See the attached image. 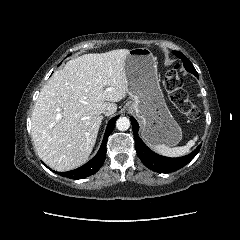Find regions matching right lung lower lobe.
Masks as SVG:
<instances>
[{"mask_svg":"<svg viewBox=\"0 0 240 240\" xmlns=\"http://www.w3.org/2000/svg\"><path fill=\"white\" fill-rule=\"evenodd\" d=\"M118 119V116L112 118L106 128L105 134H104V138H103V142L101 144V147L98 151V153L96 154V156L94 158H92L89 162H87L85 165L75 169V170H71L68 172H56L57 174L63 176V177H68L71 179H82L85 178L87 176L93 175L95 174L102 166V164L105 161L106 158V143L108 140L109 135L111 134V132L113 131V129L115 128V122Z\"/></svg>","mask_w":240,"mask_h":240,"instance_id":"98d812e1","label":"right lung lower lobe"}]
</instances>
